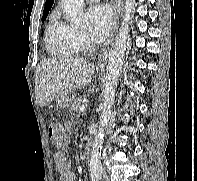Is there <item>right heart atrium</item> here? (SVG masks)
<instances>
[{
	"label": "right heart atrium",
	"instance_id": "obj_1",
	"mask_svg": "<svg viewBox=\"0 0 197 181\" xmlns=\"http://www.w3.org/2000/svg\"><path fill=\"white\" fill-rule=\"evenodd\" d=\"M76 36H77V41L81 48H85L88 46L89 39L83 31L76 30Z\"/></svg>",
	"mask_w": 197,
	"mask_h": 181
}]
</instances>
